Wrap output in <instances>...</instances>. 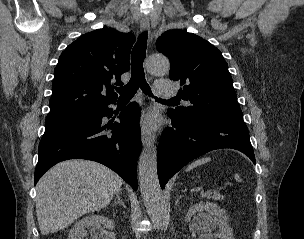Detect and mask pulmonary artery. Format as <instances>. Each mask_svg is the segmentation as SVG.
<instances>
[{"mask_svg": "<svg viewBox=\"0 0 304 239\" xmlns=\"http://www.w3.org/2000/svg\"><path fill=\"white\" fill-rule=\"evenodd\" d=\"M155 92L158 96L170 97L176 95L173 85L168 81H158L155 83Z\"/></svg>", "mask_w": 304, "mask_h": 239, "instance_id": "1", "label": "pulmonary artery"}]
</instances>
